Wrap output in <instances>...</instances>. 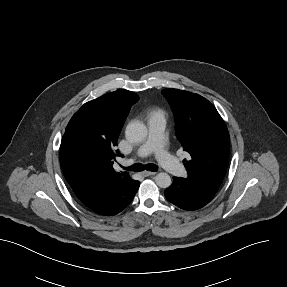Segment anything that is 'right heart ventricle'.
Masks as SVG:
<instances>
[{"mask_svg":"<svg viewBox=\"0 0 287 287\" xmlns=\"http://www.w3.org/2000/svg\"><path fill=\"white\" fill-rule=\"evenodd\" d=\"M148 117L149 118H159V119H162L165 121L166 114H165L164 110H162L160 108H155V109H151L148 112Z\"/></svg>","mask_w":287,"mask_h":287,"instance_id":"obj_1","label":"right heart ventricle"}]
</instances>
